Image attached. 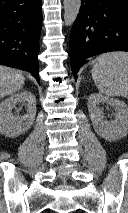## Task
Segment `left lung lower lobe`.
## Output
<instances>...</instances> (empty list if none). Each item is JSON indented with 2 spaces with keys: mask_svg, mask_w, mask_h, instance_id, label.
Instances as JSON below:
<instances>
[{
  "mask_svg": "<svg viewBox=\"0 0 128 213\" xmlns=\"http://www.w3.org/2000/svg\"><path fill=\"white\" fill-rule=\"evenodd\" d=\"M69 49L74 78L87 58L128 51V0H81Z\"/></svg>",
  "mask_w": 128,
  "mask_h": 213,
  "instance_id": "1",
  "label": "left lung lower lobe"
}]
</instances>
